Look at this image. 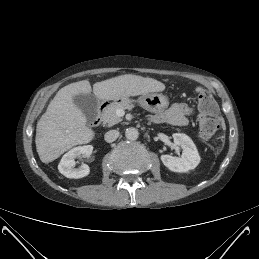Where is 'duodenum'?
<instances>
[{
    "instance_id": "duodenum-1",
    "label": "duodenum",
    "mask_w": 259,
    "mask_h": 259,
    "mask_svg": "<svg viewBox=\"0 0 259 259\" xmlns=\"http://www.w3.org/2000/svg\"><path fill=\"white\" fill-rule=\"evenodd\" d=\"M110 104H111V102H109V101H103V102H101V103L98 105L97 113H96L95 117H94L93 120H92V125H93V126H98V125L101 124L103 112L105 111V109H106Z\"/></svg>"
}]
</instances>
